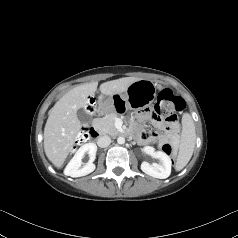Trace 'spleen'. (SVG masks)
Returning a JSON list of instances; mask_svg holds the SVG:
<instances>
[{"mask_svg":"<svg viewBox=\"0 0 238 238\" xmlns=\"http://www.w3.org/2000/svg\"><path fill=\"white\" fill-rule=\"evenodd\" d=\"M196 133L192 117L185 113L182 117V134L180 149L175 165L177 171L182 170L192 157L195 147Z\"/></svg>","mask_w":238,"mask_h":238,"instance_id":"spleen-1","label":"spleen"}]
</instances>
